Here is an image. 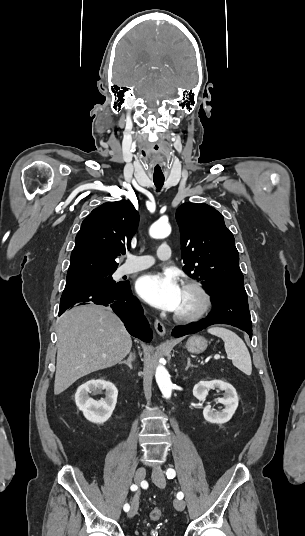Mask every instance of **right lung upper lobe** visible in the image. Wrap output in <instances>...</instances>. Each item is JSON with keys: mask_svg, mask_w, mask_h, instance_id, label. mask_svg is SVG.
<instances>
[{"mask_svg": "<svg viewBox=\"0 0 305 536\" xmlns=\"http://www.w3.org/2000/svg\"><path fill=\"white\" fill-rule=\"evenodd\" d=\"M139 222L131 202H108L82 222L75 238L67 278L116 270L115 258L130 248Z\"/></svg>", "mask_w": 305, "mask_h": 536, "instance_id": "1", "label": "right lung upper lobe"}]
</instances>
